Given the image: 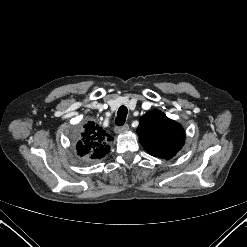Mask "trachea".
<instances>
[{
	"label": "trachea",
	"mask_w": 247,
	"mask_h": 247,
	"mask_svg": "<svg viewBox=\"0 0 247 247\" xmlns=\"http://www.w3.org/2000/svg\"><path fill=\"white\" fill-rule=\"evenodd\" d=\"M128 109L125 106H120L117 112V117H116V125L117 126H122L124 125L127 117Z\"/></svg>",
	"instance_id": "trachea-1"
}]
</instances>
